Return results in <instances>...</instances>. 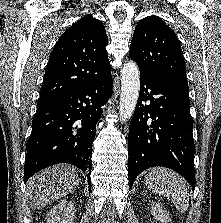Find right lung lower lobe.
Returning <instances> with one entry per match:
<instances>
[{"mask_svg":"<svg viewBox=\"0 0 221 223\" xmlns=\"http://www.w3.org/2000/svg\"><path fill=\"white\" fill-rule=\"evenodd\" d=\"M112 86L110 69L68 93L38 103L26 145L24 182L45 167L69 163L87 173L90 189L91 143Z\"/></svg>","mask_w":221,"mask_h":223,"instance_id":"obj_1","label":"right lung lower lobe"}]
</instances>
